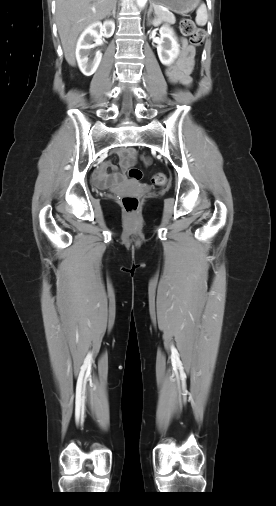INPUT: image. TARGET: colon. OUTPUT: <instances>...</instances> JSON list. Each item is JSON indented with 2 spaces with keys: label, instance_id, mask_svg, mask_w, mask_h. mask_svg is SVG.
Here are the masks:
<instances>
[{
  "label": "colon",
  "instance_id": "colon-1",
  "mask_svg": "<svg viewBox=\"0 0 276 506\" xmlns=\"http://www.w3.org/2000/svg\"><path fill=\"white\" fill-rule=\"evenodd\" d=\"M179 28L181 33L188 37L190 43L194 46H201L205 40V33L203 30L196 28L194 22L189 18L180 20ZM131 179L140 180L142 178V171L138 168H131L128 171ZM153 182L156 185H163L167 182V177L164 173H157L153 177ZM122 206L128 213H134L139 207V199L133 195H125L121 199Z\"/></svg>",
  "mask_w": 276,
  "mask_h": 506
}]
</instances>
